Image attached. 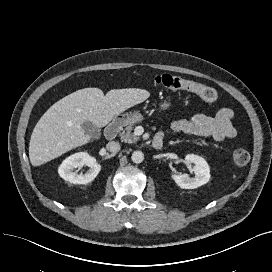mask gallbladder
<instances>
[{"label":"gallbladder","mask_w":272,"mask_h":272,"mask_svg":"<svg viewBox=\"0 0 272 272\" xmlns=\"http://www.w3.org/2000/svg\"><path fill=\"white\" fill-rule=\"evenodd\" d=\"M82 128L86 133L90 134L91 136L94 137L100 136V130L90 121H85L82 124Z\"/></svg>","instance_id":"bac80fb5"}]
</instances>
